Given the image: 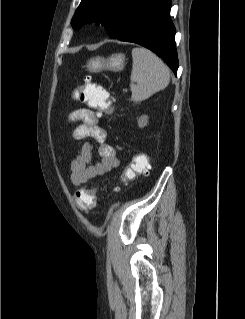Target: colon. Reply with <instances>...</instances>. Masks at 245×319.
<instances>
[{
  "mask_svg": "<svg viewBox=\"0 0 245 319\" xmlns=\"http://www.w3.org/2000/svg\"><path fill=\"white\" fill-rule=\"evenodd\" d=\"M86 83L82 86L77 95L79 100L84 102L89 108L97 110L99 114H110L113 111V99L108 92L93 83L90 77H86ZM148 159L144 155L134 157L131 164L124 170L121 179L131 180L139 175L147 174ZM95 188L84 187L77 190L73 195L74 203L81 209H90L96 205Z\"/></svg>",
  "mask_w": 245,
  "mask_h": 319,
  "instance_id": "colon-1",
  "label": "colon"
}]
</instances>
